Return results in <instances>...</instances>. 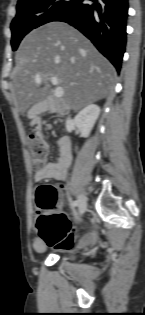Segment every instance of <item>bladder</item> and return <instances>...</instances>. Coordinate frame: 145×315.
I'll use <instances>...</instances> for the list:
<instances>
[{
  "label": "bladder",
  "mask_w": 145,
  "mask_h": 315,
  "mask_svg": "<svg viewBox=\"0 0 145 315\" xmlns=\"http://www.w3.org/2000/svg\"><path fill=\"white\" fill-rule=\"evenodd\" d=\"M63 258L67 261H73L74 260V256L72 253H67L66 255L63 256Z\"/></svg>",
  "instance_id": "1"
}]
</instances>
